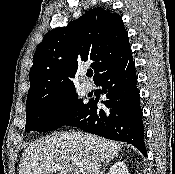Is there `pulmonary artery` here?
<instances>
[{"mask_svg": "<svg viewBox=\"0 0 175 174\" xmlns=\"http://www.w3.org/2000/svg\"><path fill=\"white\" fill-rule=\"evenodd\" d=\"M83 87H84V89L86 90V91H91V90H93V88H94V85L91 83V82H89V81H84L83 82Z\"/></svg>", "mask_w": 175, "mask_h": 174, "instance_id": "1", "label": "pulmonary artery"}]
</instances>
